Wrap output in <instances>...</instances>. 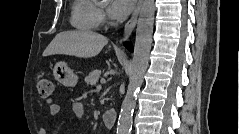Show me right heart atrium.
Here are the masks:
<instances>
[{
	"mask_svg": "<svg viewBox=\"0 0 239 134\" xmlns=\"http://www.w3.org/2000/svg\"><path fill=\"white\" fill-rule=\"evenodd\" d=\"M104 19H105V12L102 9H100L99 10V22L104 21Z\"/></svg>",
	"mask_w": 239,
	"mask_h": 134,
	"instance_id": "right-heart-atrium-1",
	"label": "right heart atrium"
}]
</instances>
